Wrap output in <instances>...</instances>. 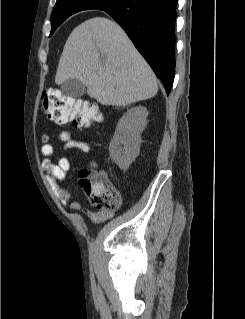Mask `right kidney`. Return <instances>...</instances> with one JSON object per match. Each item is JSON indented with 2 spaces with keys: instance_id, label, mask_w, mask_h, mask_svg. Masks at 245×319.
I'll return each mask as SVG.
<instances>
[{
  "instance_id": "1",
  "label": "right kidney",
  "mask_w": 245,
  "mask_h": 319,
  "mask_svg": "<svg viewBox=\"0 0 245 319\" xmlns=\"http://www.w3.org/2000/svg\"><path fill=\"white\" fill-rule=\"evenodd\" d=\"M147 117L146 107L138 106L128 110L119 120L109 152L120 169L127 170L139 155L141 133L146 127Z\"/></svg>"
}]
</instances>
